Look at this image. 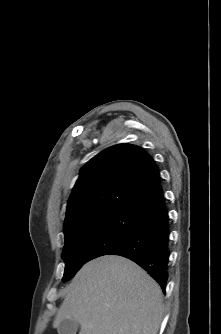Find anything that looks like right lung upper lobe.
Instances as JSON below:
<instances>
[{
  "label": "right lung upper lobe",
  "mask_w": 221,
  "mask_h": 334,
  "mask_svg": "<svg viewBox=\"0 0 221 334\" xmlns=\"http://www.w3.org/2000/svg\"><path fill=\"white\" fill-rule=\"evenodd\" d=\"M162 194L158 167L146 151L129 144L107 148L81 168L68 201L64 234L102 213L140 215Z\"/></svg>",
  "instance_id": "cb5924a9"
}]
</instances>
